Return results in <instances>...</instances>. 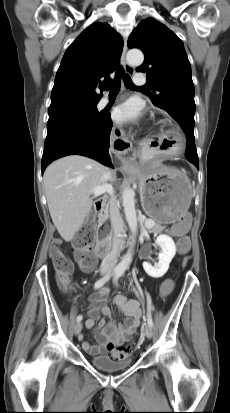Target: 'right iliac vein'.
<instances>
[{"label": "right iliac vein", "instance_id": "right-iliac-vein-1", "mask_svg": "<svg viewBox=\"0 0 230 413\" xmlns=\"http://www.w3.org/2000/svg\"><path fill=\"white\" fill-rule=\"evenodd\" d=\"M81 330H82V324L80 322H77L73 328L74 334L78 335L81 332Z\"/></svg>", "mask_w": 230, "mask_h": 413}]
</instances>
